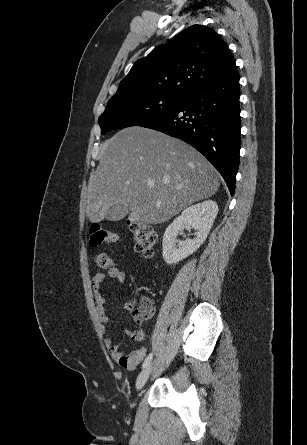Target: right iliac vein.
Returning <instances> with one entry per match:
<instances>
[{"label":"right iliac vein","instance_id":"1","mask_svg":"<svg viewBox=\"0 0 307 445\" xmlns=\"http://www.w3.org/2000/svg\"><path fill=\"white\" fill-rule=\"evenodd\" d=\"M152 371V365H148L138 376L136 380V389L141 390L146 384L150 373Z\"/></svg>","mask_w":307,"mask_h":445}]
</instances>
